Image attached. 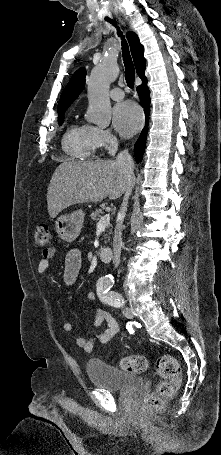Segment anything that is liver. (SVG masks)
I'll use <instances>...</instances> for the list:
<instances>
[{
  "instance_id": "obj_1",
  "label": "liver",
  "mask_w": 221,
  "mask_h": 455,
  "mask_svg": "<svg viewBox=\"0 0 221 455\" xmlns=\"http://www.w3.org/2000/svg\"><path fill=\"white\" fill-rule=\"evenodd\" d=\"M128 175L114 160L64 161L54 171L47 191V208L55 218L65 208L119 198L127 189Z\"/></svg>"
}]
</instances>
